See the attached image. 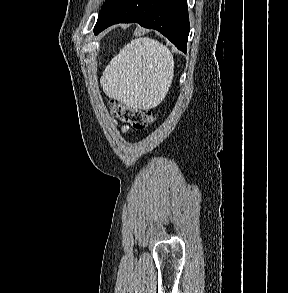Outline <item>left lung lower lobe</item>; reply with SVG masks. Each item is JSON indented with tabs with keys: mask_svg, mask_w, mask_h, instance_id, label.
<instances>
[{
	"mask_svg": "<svg viewBox=\"0 0 288 293\" xmlns=\"http://www.w3.org/2000/svg\"><path fill=\"white\" fill-rule=\"evenodd\" d=\"M132 22L159 31L186 53L190 30L187 0H120L96 23L94 33L117 23Z\"/></svg>",
	"mask_w": 288,
	"mask_h": 293,
	"instance_id": "1",
	"label": "left lung lower lobe"
}]
</instances>
